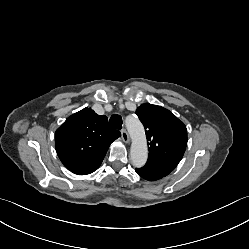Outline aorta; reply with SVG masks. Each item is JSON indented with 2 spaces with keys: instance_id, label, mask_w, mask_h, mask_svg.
<instances>
[{
  "instance_id": "aorta-1",
  "label": "aorta",
  "mask_w": 249,
  "mask_h": 249,
  "mask_svg": "<svg viewBox=\"0 0 249 249\" xmlns=\"http://www.w3.org/2000/svg\"><path fill=\"white\" fill-rule=\"evenodd\" d=\"M126 126L132 138L130 157L133 165L140 168L145 165L148 157L144 127L138 118L133 116L126 118Z\"/></svg>"
}]
</instances>
